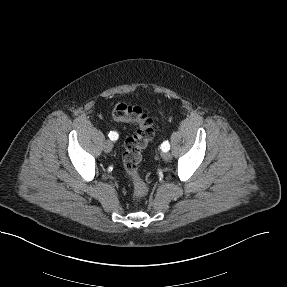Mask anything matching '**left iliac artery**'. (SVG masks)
Instances as JSON below:
<instances>
[{"mask_svg":"<svg viewBox=\"0 0 287 287\" xmlns=\"http://www.w3.org/2000/svg\"><path fill=\"white\" fill-rule=\"evenodd\" d=\"M161 149L162 151L166 152V151H169L170 149V144L168 141H164L162 144H161Z\"/></svg>","mask_w":287,"mask_h":287,"instance_id":"obj_1","label":"left iliac artery"}]
</instances>
